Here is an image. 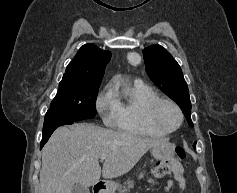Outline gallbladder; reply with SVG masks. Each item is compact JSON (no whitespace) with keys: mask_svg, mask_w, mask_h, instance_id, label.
<instances>
[{"mask_svg":"<svg viewBox=\"0 0 237 193\" xmlns=\"http://www.w3.org/2000/svg\"><path fill=\"white\" fill-rule=\"evenodd\" d=\"M71 193H90V190L81 184H75Z\"/></svg>","mask_w":237,"mask_h":193,"instance_id":"1","label":"gallbladder"}]
</instances>
